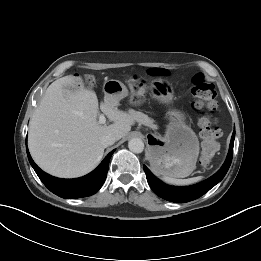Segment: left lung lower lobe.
I'll list each match as a JSON object with an SVG mask.
<instances>
[{
  "instance_id": "obj_1",
  "label": "left lung lower lobe",
  "mask_w": 261,
  "mask_h": 261,
  "mask_svg": "<svg viewBox=\"0 0 261 261\" xmlns=\"http://www.w3.org/2000/svg\"><path fill=\"white\" fill-rule=\"evenodd\" d=\"M234 138L235 131L231 137L229 152L225 163L217 173L207 180L188 187L169 186L157 179L150 170L143 165L149 186L159 197L175 203H185L201 197L219 183L226 175L232 161Z\"/></svg>"
}]
</instances>
